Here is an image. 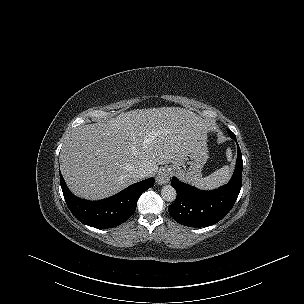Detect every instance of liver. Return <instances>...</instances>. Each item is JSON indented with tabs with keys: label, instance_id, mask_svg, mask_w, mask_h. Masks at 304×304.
<instances>
[{
	"label": "liver",
	"instance_id": "6515ba94",
	"mask_svg": "<svg viewBox=\"0 0 304 304\" xmlns=\"http://www.w3.org/2000/svg\"><path fill=\"white\" fill-rule=\"evenodd\" d=\"M209 122L177 107L133 110L107 122L77 127L64 144L60 169L77 196L98 200L151 176L158 166L176 163L191 150L206 148Z\"/></svg>",
	"mask_w": 304,
	"mask_h": 304
}]
</instances>
